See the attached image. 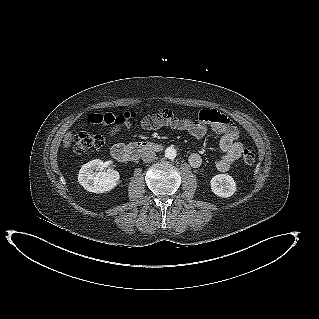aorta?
<instances>
[{"mask_svg":"<svg viewBox=\"0 0 319 319\" xmlns=\"http://www.w3.org/2000/svg\"><path fill=\"white\" fill-rule=\"evenodd\" d=\"M177 155V151L174 147L170 146L165 150V157L168 159H174Z\"/></svg>","mask_w":319,"mask_h":319,"instance_id":"1","label":"aorta"}]
</instances>
